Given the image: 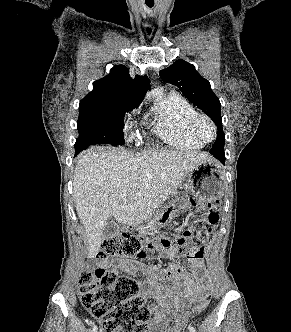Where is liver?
Segmentation results:
<instances>
[{"instance_id": "1", "label": "liver", "mask_w": 291, "mask_h": 332, "mask_svg": "<svg viewBox=\"0 0 291 332\" xmlns=\"http://www.w3.org/2000/svg\"><path fill=\"white\" fill-rule=\"evenodd\" d=\"M210 159L208 153L190 150L134 154L122 147H94L82 151L74 173L73 197L85 228L88 258L99 252L102 231L111 216L125 225L143 223L197 164Z\"/></svg>"}]
</instances>
